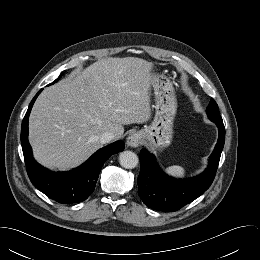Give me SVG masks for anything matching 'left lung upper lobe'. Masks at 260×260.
<instances>
[{
	"label": "left lung upper lobe",
	"instance_id": "1",
	"mask_svg": "<svg viewBox=\"0 0 260 260\" xmlns=\"http://www.w3.org/2000/svg\"><path fill=\"white\" fill-rule=\"evenodd\" d=\"M206 111H207V115H208L209 119L222 121V118L219 115L218 105L214 101V99H211L209 106L207 107Z\"/></svg>",
	"mask_w": 260,
	"mask_h": 260
}]
</instances>
